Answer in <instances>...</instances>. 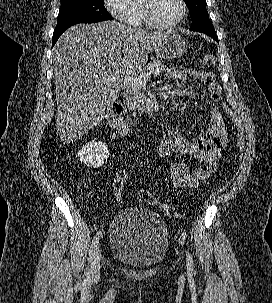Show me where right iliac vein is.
Returning <instances> with one entry per match:
<instances>
[{"mask_svg":"<svg viewBox=\"0 0 272 303\" xmlns=\"http://www.w3.org/2000/svg\"><path fill=\"white\" fill-rule=\"evenodd\" d=\"M101 259H102L101 248L98 246V247H96V250L94 252L91 269L89 272V278L91 280H93L99 276L100 268H101Z\"/></svg>","mask_w":272,"mask_h":303,"instance_id":"63e3f726","label":"right iliac vein"}]
</instances>
